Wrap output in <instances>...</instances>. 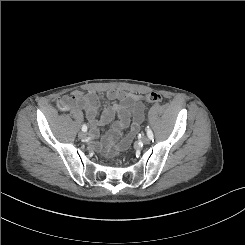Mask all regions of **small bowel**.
<instances>
[{"mask_svg":"<svg viewBox=\"0 0 245 245\" xmlns=\"http://www.w3.org/2000/svg\"><path fill=\"white\" fill-rule=\"evenodd\" d=\"M106 97L113 100L114 103L104 109L100 118L97 117L98 97L93 92L86 94L83 104L75 108L85 109L86 117L92 125V137L97 136L99 127L110 123L115 117L118 118L101 144L102 148L108 151H115L120 148H125L137 134L144 118L145 107L139 95L123 90L109 89L106 92ZM129 125H131L129 135L125 140L117 143L121 132Z\"/></svg>","mask_w":245,"mask_h":245,"instance_id":"small-bowel-1","label":"small bowel"}]
</instances>
